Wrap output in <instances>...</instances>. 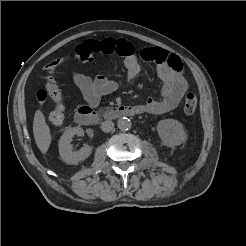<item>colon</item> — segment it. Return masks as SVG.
I'll list each match as a JSON object with an SVG mask.
<instances>
[{"label":"colon","instance_id":"5ec220e1","mask_svg":"<svg viewBox=\"0 0 246 246\" xmlns=\"http://www.w3.org/2000/svg\"><path fill=\"white\" fill-rule=\"evenodd\" d=\"M92 56L93 55L90 50L78 47L74 53L70 55V58L87 62L92 60ZM58 63L59 61H54L45 67L47 72L44 76L45 88L38 90L36 94V98L39 103H44L48 98L51 99L53 108L47 113V120L53 125H61L65 119L66 113L61 90L51 75ZM197 105V96L194 93H188L184 100V112L188 115L195 113Z\"/></svg>","mask_w":246,"mask_h":246}]
</instances>
